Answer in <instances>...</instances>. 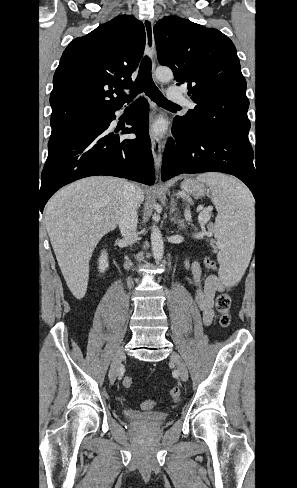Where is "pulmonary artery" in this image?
<instances>
[{
    "mask_svg": "<svg viewBox=\"0 0 297 488\" xmlns=\"http://www.w3.org/2000/svg\"><path fill=\"white\" fill-rule=\"evenodd\" d=\"M168 98L173 102L181 103L183 105H189V101L181 93L173 89H170L168 91Z\"/></svg>",
    "mask_w": 297,
    "mask_h": 488,
    "instance_id": "obj_1",
    "label": "pulmonary artery"
}]
</instances>
